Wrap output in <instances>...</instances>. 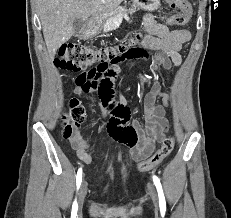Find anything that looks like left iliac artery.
I'll list each match as a JSON object with an SVG mask.
<instances>
[{
	"mask_svg": "<svg viewBox=\"0 0 231 218\" xmlns=\"http://www.w3.org/2000/svg\"><path fill=\"white\" fill-rule=\"evenodd\" d=\"M153 182H154V184L157 188V191H158L160 211H161V213L164 214L166 211V202H165V197L163 194L161 183H160L159 178L157 176H153Z\"/></svg>",
	"mask_w": 231,
	"mask_h": 218,
	"instance_id": "obj_1",
	"label": "left iliac artery"
}]
</instances>
